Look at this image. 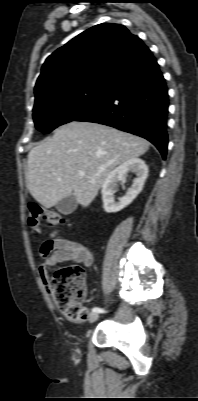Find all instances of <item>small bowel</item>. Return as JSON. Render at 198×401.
I'll return each instance as SVG.
<instances>
[{"instance_id": "small-bowel-1", "label": "small bowel", "mask_w": 198, "mask_h": 401, "mask_svg": "<svg viewBox=\"0 0 198 401\" xmlns=\"http://www.w3.org/2000/svg\"><path fill=\"white\" fill-rule=\"evenodd\" d=\"M42 259L38 272L41 279L47 283L50 269L57 263L74 261L81 262L86 267L93 263V253L90 248L64 234L54 231L43 242L39 249Z\"/></svg>"}]
</instances>
